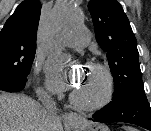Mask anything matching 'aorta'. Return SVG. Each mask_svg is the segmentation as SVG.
Wrapping results in <instances>:
<instances>
[{
	"label": "aorta",
	"instance_id": "aorta-1",
	"mask_svg": "<svg viewBox=\"0 0 151 131\" xmlns=\"http://www.w3.org/2000/svg\"><path fill=\"white\" fill-rule=\"evenodd\" d=\"M76 11L71 7H56L50 18V27L55 32L70 29L76 22Z\"/></svg>",
	"mask_w": 151,
	"mask_h": 131
}]
</instances>
